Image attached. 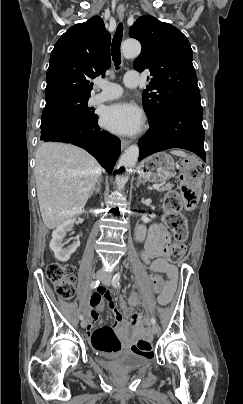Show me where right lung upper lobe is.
<instances>
[{
  "instance_id": "1",
  "label": "right lung upper lobe",
  "mask_w": 243,
  "mask_h": 404,
  "mask_svg": "<svg viewBox=\"0 0 243 404\" xmlns=\"http://www.w3.org/2000/svg\"><path fill=\"white\" fill-rule=\"evenodd\" d=\"M110 34L99 16L72 26L57 41L47 70L46 103L90 96L91 79L111 65Z\"/></svg>"
}]
</instances>
